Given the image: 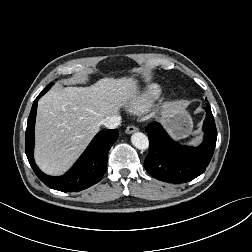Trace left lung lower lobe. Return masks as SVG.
<instances>
[{
  "label": "left lung lower lobe",
  "mask_w": 252,
  "mask_h": 252,
  "mask_svg": "<svg viewBox=\"0 0 252 252\" xmlns=\"http://www.w3.org/2000/svg\"><path fill=\"white\" fill-rule=\"evenodd\" d=\"M207 115L203 123L204 140L196 148L173 141L163 127L153 122L146 128L149 137V154L144 166L154 178L169 183L188 182L201 175L214 153L217 130L207 104Z\"/></svg>",
  "instance_id": "1"
}]
</instances>
